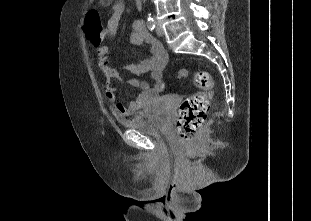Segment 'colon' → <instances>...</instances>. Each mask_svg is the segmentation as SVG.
Returning <instances> with one entry per match:
<instances>
[{"label":"colon","instance_id":"obj_1","mask_svg":"<svg viewBox=\"0 0 311 221\" xmlns=\"http://www.w3.org/2000/svg\"><path fill=\"white\" fill-rule=\"evenodd\" d=\"M83 30L84 39H89L93 47L99 48L103 39L104 26L99 22L97 10H87L86 24ZM187 76L188 71L181 70L179 80L182 81ZM194 82L198 92L184 98L179 106L176 130L180 134V141H193L196 131L202 126L210 112L211 91L213 89L211 76L207 72L198 71L195 73Z\"/></svg>","mask_w":311,"mask_h":221}]
</instances>
